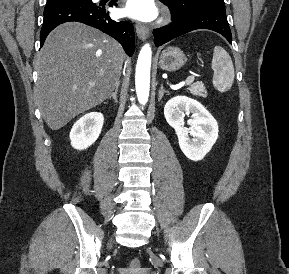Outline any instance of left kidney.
<instances>
[{
    "mask_svg": "<svg viewBox=\"0 0 289 274\" xmlns=\"http://www.w3.org/2000/svg\"><path fill=\"white\" fill-rule=\"evenodd\" d=\"M188 114H192L189 130L184 128V117ZM164 116L168 124L175 129L179 146L190 160H202L218 138L216 120L194 99L186 96L173 97L164 107Z\"/></svg>",
    "mask_w": 289,
    "mask_h": 274,
    "instance_id": "5707ae66",
    "label": "left kidney"
}]
</instances>
